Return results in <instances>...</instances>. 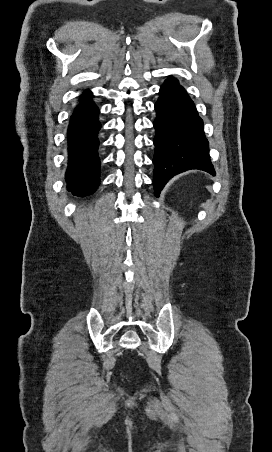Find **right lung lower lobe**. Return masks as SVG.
<instances>
[{"mask_svg": "<svg viewBox=\"0 0 272 452\" xmlns=\"http://www.w3.org/2000/svg\"><path fill=\"white\" fill-rule=\"evenodd\" d=\"M98 115L99 109L92 101V93L86 90L72 113L67 131V189L78 197L92 194L99 184L97 134L101 125Z\"/></svg>", "mask_w": 272, "mask_h": 452, "instance_id": "obj_1", "label": "right lung lower lobe"}]
</instances>
